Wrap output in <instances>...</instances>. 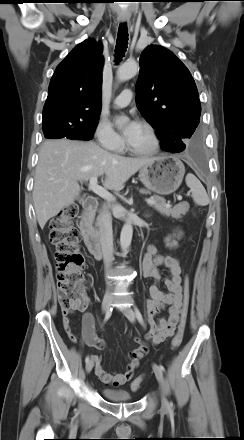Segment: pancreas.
Segmentation results:
<instances>
[{
	"label": "pancreas",
	"mask_w": 244,
	"mask_h": 440,
	"mask_svg": "<svg viewBox=\"0 0 244 440\" xmlns=\"http://www.w3.org/2000/svg\"><path fill=\"white\" fill-rule=\"evenodd\" d=\"M152 199L156 202L155 204H152V206L162 215L166 217H172L175 219H179L182 217V215H185L189 210V204L188 202H181L174 207H168L166 206L165 199L154 195L152 196ZM97 226L99 225L96 224Z\"/></svg>",
	"instance_id": "pancreas-1"
}]
</instances>
